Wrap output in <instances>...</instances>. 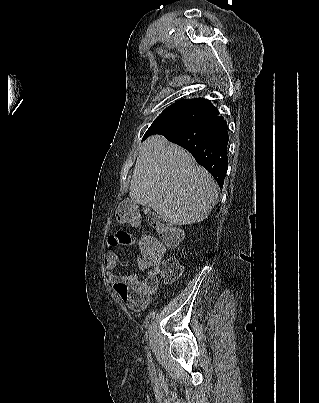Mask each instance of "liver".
Returning <instances> with one entry per match:
<instances>
[{
	"label": "liver",
	"mask_w": 319,
	"mask_h": 403,
	"mask_svg": "<svg viewBox=\"0 0 319 403\" xmlns=\"http://www.w3.org/2000/svg\"><path fill=\"white\" fill-rule=\"evenodd\" d=\"M129 195L167 222L187 225L207 218L218 190L211 174L189 152L153 135L140 146Z\"/></svg>",
	"instance_id": "6515ba94"
}]
</instances>
